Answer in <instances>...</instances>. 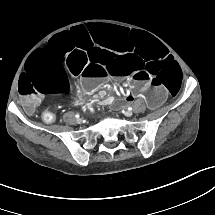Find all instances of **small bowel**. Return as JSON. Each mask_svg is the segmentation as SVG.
<instances>
[{
	"mask_svg": "<svg viewBox=\"0 0 215 215\" xmlns=\"http://www.w3.org/2000/svg\"><path fill=\"white\" fill-rule=\"evenodd\" d=\"M40 97H35V96H33L32 98H31V104H32V110H33V108L40 102ZM125 101H126V99H124ZM127 100H130L129 98H127Z\"/></svg>",
	"mask_w": 215,
	"mask_h": 215,
	"instance_id": "small-bowel-1",
	"label": "small bowel"
}]
</instances>
